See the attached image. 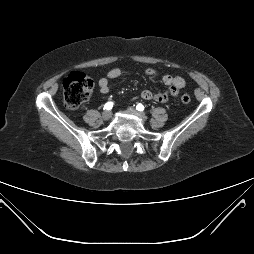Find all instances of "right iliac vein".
Wrapping results in <instances>:
<instances>
[{
  "mask_svg": "<svg viewBox=\"0 0 254 254\" xmlns=\"http://www.w3.org/2000/svg\"><path fill=\"white\" fill-rule=\"evenodd\" d=\"M103 120L107 121L111 118V112L109 110H106L102 113Z\"/></svg>",
  "mask_w": 254,
  "mask_h": 254,
  "instance_id": "right-iliac-vein-1",
  "label": "right iliac vein"
}]
</instances>
